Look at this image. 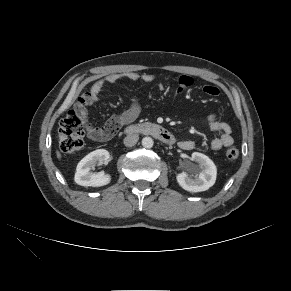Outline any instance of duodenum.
Listing matches in <instances>:
<instances>
[{
    "label": "duodenum",
    "mask_w": 291,
    "mask_h": 291,
    "mask_svg": "<svg viewBox=\"0 0 291 291\" xmlns=\"http://www.w3.org/2000/svg\"><path fill=\"white\" fill-rule=\"evenodd\" d=\"M125 133L128 135L132 134L150 135L165 144H173L175 142L173 134L167 129L157 124L128 125L125 128Z\"/></svg>",
    "instance_id": "obj_1"
}]
</instances>
